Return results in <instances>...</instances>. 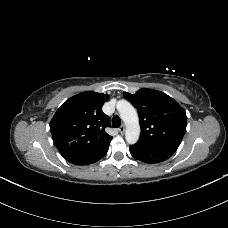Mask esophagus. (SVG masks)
I'll return each instance as SVG.
<instances>
[{
  "label": "esophagus",
  "instance_id": "34e87169",
  "mask_svg": "<svg viewBox=\"0 0 228 228\" xmlns=\"http://www.w3.org/2000/svg\"><path fill=\"white\" fill-rule=\"evenodd\" d=\"M119 132H120V134H124V132H125V125L124 124L119 127Z\"/></svg>",
  "mask_w": 228,
  "mask_h": 228
}]
</instances>
